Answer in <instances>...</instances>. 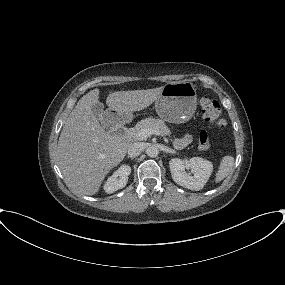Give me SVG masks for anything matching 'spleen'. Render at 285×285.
Instances as JSON below:
<instances>
[{
    "instance_id": "1",
    "label": "spleen",
    "mask_w": 285,
    "mask_h": 285,
    "mask_svg": "<svg viewBox=\"0 0 285 285\" xmlns=\"http://www.w3.org/2000/svg\"><path fill=\"white\" fill-rule=\"evenodd\" d=\"M234 165V157L226 155L221 159L219 169L216 173L215 181L220 182L231 172Z\"/></svg>"
}]
</instances>
